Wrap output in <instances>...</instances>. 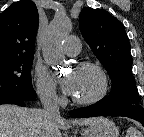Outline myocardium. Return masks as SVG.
<instances>
[{
	"mask_svg": "<svg viewBox=\"0 0 144 137\" xmlns=\"http://www.w3.org/2000/svg\"><path fill=\"white\" fill-rule=\"evenodd\" d=\"M76 69L82 70V69H91L94 72H96L100 78V89L99 91L92 97L87 98V99H78L75 97H72V102L76 105L80 106H90L94 105L98 102H100L104 97L106 96L109 88V80L106 71L104 68L95 62L91 61H83L80 62Z\"/></svg>",
	"mask_w": 144,
	"mask_h": 137,
	"instance_id": "f54148a6",
	"label": "myocardium"
}]
</instances>
